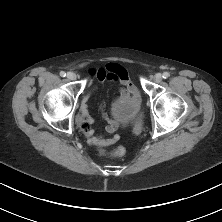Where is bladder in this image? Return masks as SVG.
<instances>
[{
  "mask_svg": "<svg viewBox=\"0 0 222 222\" xmlns=\"http://www.w3.org/2000/svg\"><path fill=\"white\" fill-rule=\"evenodd\" d=\"M141 108L140 101L136 98H128L124 103L118 105L115 109V115L123 120H129L135 117Z\"/></svg>",
  "mask_w": 222,
  "mask_h": 222,
  "instance_id": "bladder-1",
  "label": "bladder"
}]
</instances>
